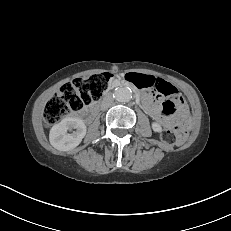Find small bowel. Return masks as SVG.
<instances>
[{
	"mask_svg": "<svg viewBox=\"0 0 231 231\" xmlns=\"http://www.w3.org/2000/svg\"><path fill=\"white\" fill-rule=\"evenodd\" d=\"M128 77L137 88L149 91L142 92V96L145 101L144 106L146 111L159 121H162L168 125L174 124L175 119L165 115V113H168L167 109L170 107V105H174V103L171 101H166L163 105H161L158 101L152 98V95L150 93L151 91H156L160 83L167 81L154 75L140 73H131L128 75ZM176 99L178 106H184V103L179 96H177Z\"/></svg>",
	"mask_w": 231,
	"mask_h": 231,
	"instance_id": "c3829d8e",
	"label": "small bowel"
}]
</instances>
